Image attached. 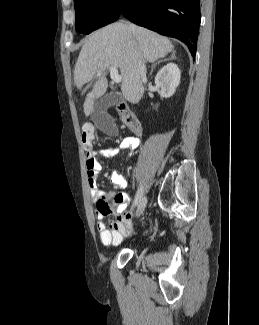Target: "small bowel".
<instances>
[{
  "label": "small bowel",
  "instance_id": "obj_1",
  "mask_svg": "<svg viewBox=\"0 0 259 325\" xmlns=\"http://www.w3.org/2000/svg\"><path fill=\"white\" fill-rule=\"evenodd\" d=\"M140 140L137 137H125L119 147H107L97 151L90 149L86 155V169L89 194L96 203V229L99 233L100 242L104 246L119 245L123 238L132 231L131 210H127L129 206L128 196L121 192L127 186L125 177L115 169L110 172V181L113 190L103 191L99 189L97 177L101 171V164L97 160V156H102L112 160L119 150L128 151L132 154L139 146ZM117 206V217L110 221L107 228L103 218L110 213L111 203Z\"/></svg>",
  "mask_w": 259,
  "mask_h": 325
}]
</instances>
